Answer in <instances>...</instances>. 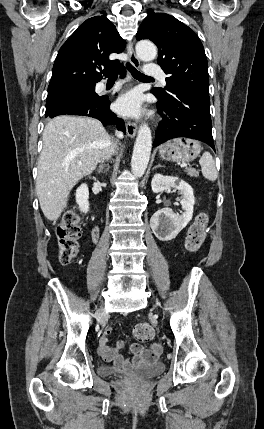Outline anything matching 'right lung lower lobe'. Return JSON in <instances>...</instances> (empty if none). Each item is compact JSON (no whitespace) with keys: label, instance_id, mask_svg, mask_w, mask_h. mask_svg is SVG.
Listing matches in <instances>:
<instances>
[{"label":"right lung lower lobe","instance_id":"98d812e1","mask_svg":"<svg viewBox=\"0 0 264 429\" xmlns=\"http://www.w3.org/2000/svg\"><path fill=\"white\" fill-rule=\"evenodd\" d=\"M120 73L121 77L125 76V69L122 65L115 69ZM110 101L108 98L100 97L97 100L87 98H76L69 100L57 106L55 109L47 113L45 116L53 118L58 115H81L89 116L100 120L103 126L117 125L118 130L125 132L124 121L118 118L110 109Z\"/></svg>","mask_w":264,"mask_h":429}]
</instances>
